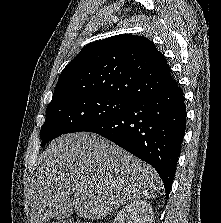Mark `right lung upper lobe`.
<instances>
[{"mask_svg": "<svg viewBox=\"0 0 221 223\" xmlns=\"http://www.w3.org/2000/svg\"><path fill=\"white\" fill-rule=\"evenodd\" d=\"M175 86L155 45L123 34L86 45L61 72L50 103L84 95L134 102Z\"/></svg>", "mask_w": 221, "mask_h": 223, "instance_id": "obj_1", "label": "right lung upper lobe"}]
</instances>
